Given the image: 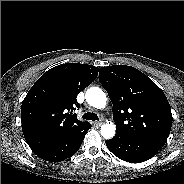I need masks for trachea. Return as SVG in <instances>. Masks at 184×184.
Segmentation results:
<instances>
[{
  "label": "trachea",
  "mask_w": 184,
  "mask_h": 184,
  "mask_svg": "<svg viewBox=\"0 0 184 184\" xmlns=\"http://www.w3.org/2000/svg\"><path fill=\"white\" fill-rule=\"evenodd\" d=\"M83 119L86 120H92V121H96L99 120V117L97 116V114L95 113H91V112H87L82 116Z\"/></svg>",
  "instance_id": "obj_1"
}]
</instances>
